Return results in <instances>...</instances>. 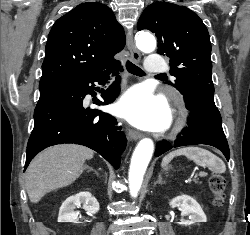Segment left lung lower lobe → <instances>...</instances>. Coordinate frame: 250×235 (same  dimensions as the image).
I'll use <instances>...</instances> for the list:
<instances>
[{
    "label": "left lung lower lobe",
    "instance_id": "left-lung-lower-lobe-1",
    "mask_svg": "<svg viewBox=\"0 0 250 235\" xmlns=\"http://www.w3.org/2000/svg\"><path fill=\"white\" fill-rule=\"evenodd\" d=\"M182 94L190 111L189 126L184 130L183 137L174 144L158 142L155 156L158 157L173 147L207 144L221 150L229 161V146L222 128L220 112L214 103L213 84L192 86Z\"/></svg>",
    "mask_w": 250,
    "mask_h": 235
}]
</instances>
